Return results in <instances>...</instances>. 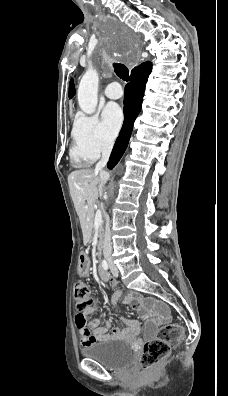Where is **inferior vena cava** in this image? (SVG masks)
Wrapping results in <instances>:
<instances>
[{"mask_svg":"<svg viewBox=\"0 0 228 396\" xmlns=\"http://www.w3.org/2000/svg\"><path fill=\"white\" fill-rule=\"evenodd\" d=\"M113 141H106L103 145V149H102V158L100 159V161L96 164V171L100 172V176H101V181H100V185H99V191L100 193H102V187L103 185L106 183V181L108 180L107 177V172H105L103 170V168L106 166L112 148H113ZM112 253V243H111V231H110V223H109V217L106 216V226H105V235H104V241H103V254L104 256H110Z\"/></svg>","mask_w":228,"mask_h":396,"instance_id":"1","label":"inferior vena cava"}]
</instances>
